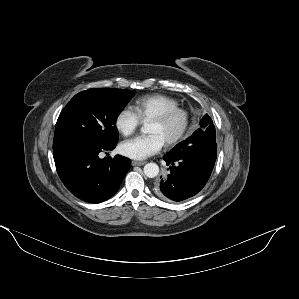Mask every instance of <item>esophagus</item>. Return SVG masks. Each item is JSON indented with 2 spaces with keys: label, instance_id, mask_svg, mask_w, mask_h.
Instances as JSON below:
<instances>
[{
  "label": "esophagus",
  "instance_id": "esophagus-1",
  "mask_svg": "<svg viewBox=\"0 0 299 299\" xmlns=\"http://www.w3.org/2000/svg\"><path fill=\"white\" fill-rule=\"evenodd\" d=\"M145 163V161H132V166H142Z\"/></svg>",
  "mask_w": 299,
  "mask_h": 299
}]
</instances>
